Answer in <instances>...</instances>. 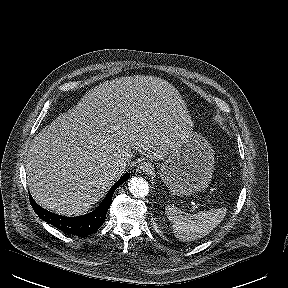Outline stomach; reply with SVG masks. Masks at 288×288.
Segmentation results:
<instances>
[{
	"instance_id": "0dacf381",
	"label": "stomach",
	"mask_w": 288,
	"mask_h": 288,
	"mask_svg": "<svg viewBox=\"0 0 288 288\" xmlns=\"http://www.w3.org/2000/svg\"><path fill=\"white\" fill-rule=\"evenodd\" d=\"M214 170V151L201 135L180 140L160 164L159 174L173 195L189 196L208 187Z\"/></svg>"
}]
</instances>
